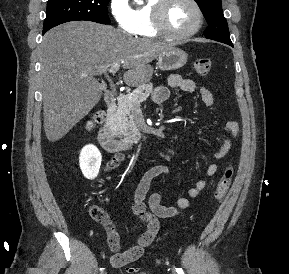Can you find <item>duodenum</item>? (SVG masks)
<instances>
[{"label":"duodenum","mask_w":289,"mask_h":274,"mask_svg":"<svg viewBox=\"0 0 289 274\" xmlns=\"http://www.w3.org/2000/svg\"><path fill=\"white\" fill-rule=\"evenodd\" d=\"M116 93L114 90L109 89L105 93V102L107 106V118L101 123L98 130V140L101 146L111 153H119L121 151L132 148L133 144L116 138L111 130L109 117L112 116L116 107Z\"/></svg>","instance_id":"410a0bca"}]
</instances>
